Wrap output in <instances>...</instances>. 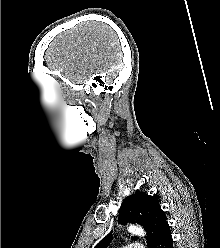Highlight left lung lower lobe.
<instances>
[{"label":"left lung lower lobe","mask_w":220,"mask_h":248,"mask_svg":"<svg viewBox=\"0 0 220 248\" xmlns=\"http://www.w3.org/2000/svg\"><path fill=\"white\" fill-rule=\"evenodd\" d=\"M153 248H173V239L169 225L165 227Z\"/></svg>","instance_id":"obj_1"}]
</instances>
